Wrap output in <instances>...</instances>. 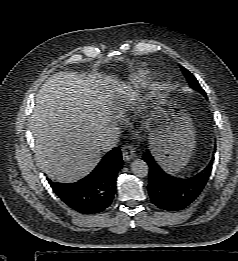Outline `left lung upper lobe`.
Masks as SVG:
<instances>
[{
  "label": "left lung upper lobe",
  "mask_w": 238,
  "mask_h": 261,
  "mask_svg": "<svg viewBox=\"0 0 238 261\" xmlns=\"http://www.w3.org/2000/svg\"><path fill=\"white\" fill-rule=\"evenodd\" d=\"M181 69H182L184 76L186 77V80H187L189 86L193 89L200 91L204 96H206V93L204 92L202 87L199 85L196 78L184 67H181Z\"/></svg>",
  "instance_id": "left-lung-upper-lobe-1"
}]
</instances>
